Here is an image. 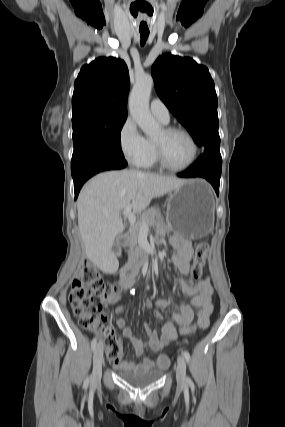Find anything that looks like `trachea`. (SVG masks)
I'll use <instances>...</instances> for the list:
<instances>
[{
	"instance_id": "trachea-1",
	"label": "trachea",
	"mask_w": 285,
	"mask_h": 427,
	"mask_svg": "<svg viewBox=\"0 0 285 427\" xmlns=\"http://www.w3.org/2000/svg\"><path fill=\"white\" fill-rule=\"evenodd\" d=\"M149 31H140L141 45L143 46L148 38Z\"/></svg>"
}]
</instances>
